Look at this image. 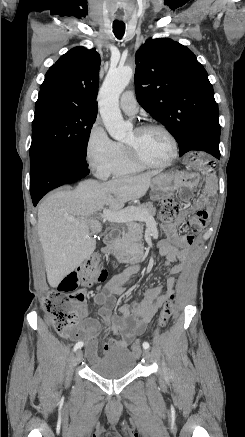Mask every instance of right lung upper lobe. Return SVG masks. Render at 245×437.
<instances>
[{"instance_id":"1","label":"right lung upper lobe","mask_w":245,"mask_h":437,"mask_svg":"<svg viewBox=\"0 0 245 437\" xmlns=\"http://www.w3.org/2000/svg\"><path fill=\"white\" fill-rule=\"evenodd\" d=\"M99 68L100 56L94 48L71 49L47 71L35 107L59 104L97 112Z\"/></svg>"}]
</instances>
